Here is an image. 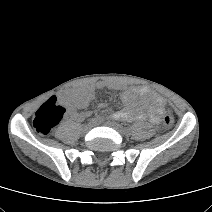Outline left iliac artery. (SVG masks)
<instances>
[{"label":"left iliac artery","instance_id":"left-iliac-artery-1","mask_svg":"<svg viewBox=\"0 0 212 212\" xmlns=\"http://www.w3.org/2000/svg\"><path fill=\"white\" fill-rule=\"evenodd\" d=\"M125 130H127V131H128L129 129H128V128H125Z\"/></svg>","mask_w":212,"mask_h":212}]
</instances>
